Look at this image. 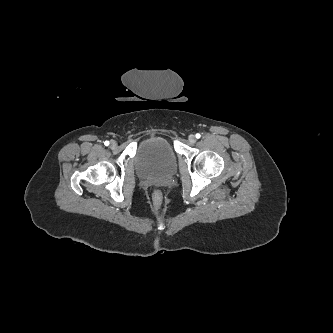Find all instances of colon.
<instances>
[{
    "label": "colon",
    "mask_w": 333,
    "mask_h": 333,
    "mask_svg": "<svg viewBox=\"0 0 333 333\" xmlns=\"http://www.w3.org/2000/svg\"><path fill=\"white\" fill-rule=\"evenodd\" d=\"M155 196H156L158 202L160 203L161 198H160V194H159V192H155Z\"/></svg>",
    "instance_id": "obj_1"
}]
</instances>
